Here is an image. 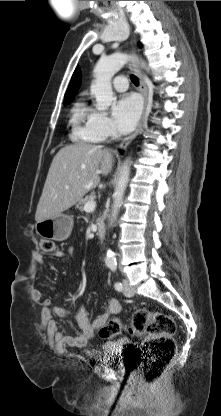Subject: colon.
Listing matches in <instances>:
<instances>
[{
	"label": "colon",
	"mask_w": 221,
	"mask_h": 416,
	"mask_svg": "<svg viewBox=\"0 0 221 416\" xmlns=\"http://www.w3.org/2000/svg\"><path fill=\"white\" fill-rule=\"evenodd\" d=\"M41 250L45 254L54 253L55 242L43 239ZM176 330V323L170 315L142 308L132 314L128 323L111 318L98 332L103 338H114L122 332L145 335L140 356L141 376L147 383H156L175 356Z\"/></svg>",
	"instance_id": "5ec220e1"
}]
</instances>
